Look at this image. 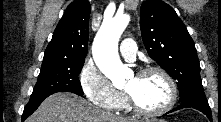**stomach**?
<instances>
[{
  "label": "stomach",
  "mask_w": 221,
  "mask_h": 122,
  "mask_svg": "<svg viewBox=\"0 0 221 122\" xmlns=\"http://www.w3.org/2000/svg\"><path fill=\"white\" fill-rule=\"evenodd\" d=\"M146 122H166V121L160 120V119H150V120H147Z\"/></svg>",
  "instance_id": "1"
}]
</instances>
